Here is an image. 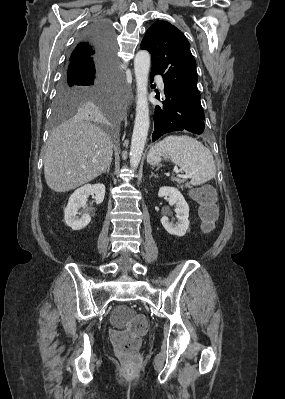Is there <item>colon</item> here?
<instances>
[{
	"mask_svg": "<svg viewBox=\"0 0 285 399\" xmlns=\"http://www.w3.org/2000/svg\"><path fill=\"white\" fill-rule=\"evenodd\" d=\"M191 196L200 204L202 229L209 232L217 219L218 209L215 195L206 186L192 190ZM147 328L146 320L140 316H132L128 325L121 330L111 331V341L116 355L124 362L136 363V354L142 342V336Z\"/></svg>",
	"mask_w": 285,
	"mask_h": 399,
	"instance_id": "5ec220e1",
	"label": "colon"
}]
</instances>
